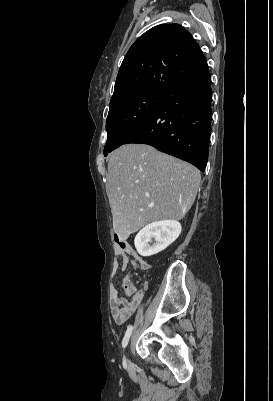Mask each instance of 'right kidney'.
Segmentation results:
<instances>
[{
    "instance_id": "obj_1",
    "label": "right kidney",
    "mask_w": 273,
    "mask_h": 401,
    "mask_svg": "<svg viewBox=\"0 0 273 401\" xmlns=\"http://www.w3.org/2000/svg\"><path fill=\"white\" fill-rule=\"evenodd\" d=\"M180 233L181 225L178 221H155L139 231L134 239V245L141 257H151L174 243Z\"/></svg>"
}]
</instances>
